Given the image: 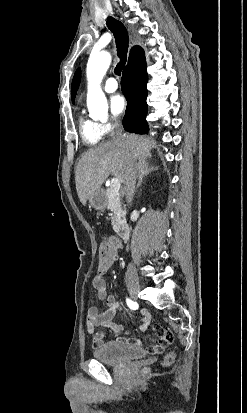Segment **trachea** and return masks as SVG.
Returning <instances> with one entry per match:
<instances>
[{"label": "trachea", "instance_id": "trachea-1", "mask_svg": "<svg viewBox=\"0 0 247 413\" xmlns=\"http://www.w3.org/2000/svg\"><path fill=\"white\" fill-rule=\"evenodd\" d=\"M108 28L113 32L117 45V54L120 58V62L115 67V74L121 75V72L126 63V56L128 51V32L123 23L115 20L114 18H109L107 21Z\"/></svg>", "mask_w": 247, "mask_h": 413}]
</instances>
